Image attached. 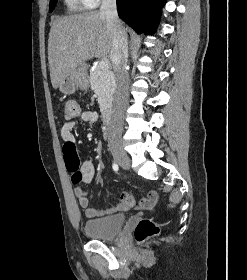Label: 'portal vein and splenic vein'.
<instances>
[{
	"instance_id": "1",
	"label": "portal vein and splenic vein",
	"mask_w": 247,
	"mask_h": 280,
	"mask_svg": "<svg viewBox=\"0 0 247 280\" xmlns=\"http://www.w3.org/2000/svg\"><path fill=\"white\" fill-rule=\"evenodd\" d=\"M101 69H108L109 68V60L108 59H102L100 62H99V65H98Z\"/></svg>"
}]
</instances>
